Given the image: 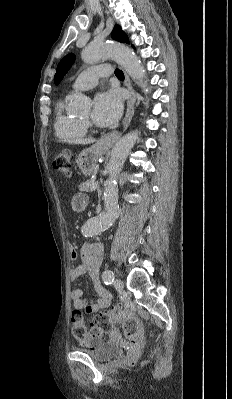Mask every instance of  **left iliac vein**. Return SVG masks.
I'll return each instance as SVG.
<instances>
[{
    "label": "left iliac vein",
    "mask_w": 232,
    "mask_h": 399,
    "mask_svg": "<svg viewBox=\"0 0 232 399\" xmlns=\"http://www.w3.org/2000/svg\"><path fill=\"white\" fill-rule=\"evenodd\" d=\"M113 286L115 289H117L118 292H121L122 289L125 288V285L123 284V281H120L119 278H116L115 281H113Z\"/></svg>",
    "instance_id": "1"
}]
</instances>
